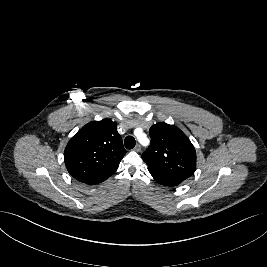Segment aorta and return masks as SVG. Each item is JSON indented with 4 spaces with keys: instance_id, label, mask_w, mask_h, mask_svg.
Masks as SVG:
<instances>
[{
    "instance_id": "762f6f07",
    "label": "aorta",
    "mask_w": 267,
    "mask_h": 267,
    "mask_svg": "<svg viewBox=\"0 0 267 267\" xmlns=\"http://www.w3.org/2000/svg\"><path fill=\"white\" fill-rule=\"evenodd\" d=\"M137 138H138L139 142H140L142 145H144V146L148 145V140L146 139V137L143 136L142 133H139V134L137 135Z\"/></svg>"
}]
</instances>
